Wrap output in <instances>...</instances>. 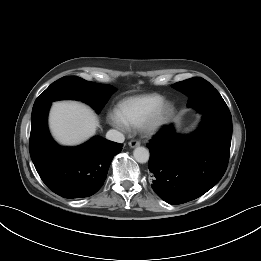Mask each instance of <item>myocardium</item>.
I'll use <instances>...</instances> for the list:
<instances>
[{
	"label": "myocardium",
	"mask_w": 261,
	"mask_h": 261,
	"mask_svg": "<svg viewBox=\"0 0 261 261\" xmlns=\"http://www.w3.org/2000/svg\"><path fill=\"white\" fill-rule=\"evenodd\" d=\"M174 110V104L171 101L163 99L140 123V129L145 134H154L158 132L173 115Z\"/></svg>",
	"instance_id": "obj_1"
}]
</instances>
